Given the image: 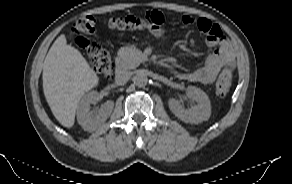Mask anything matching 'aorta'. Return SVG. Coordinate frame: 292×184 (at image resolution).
<instances>
[{
  "label": "aorta",
  "mask_w": 292,
  "mask_h": 184,
  "mask_svg": "<svg viewBox=\"0 0 292 184\" xmlns=\"http://www.w3.org/2000/svg\"><path fill=\"white\" fill-rule=\"evenodd\" d=\"M133 82L138 87H144L148 83V77L144 72H138L134 78Z\"/></svg>",
  "instance_id": "obj_1"
}]
</instances>
